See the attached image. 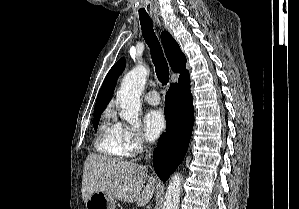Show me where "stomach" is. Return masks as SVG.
<instances>
[{
	"label": "stomach",
	"mask_w": 299,
	"mask_h": 209,
	"mask_svg": "<svg viewBox=\"0 0 299 209\" xmlns=\"http://www.w3.org/2000/svg\"><path fill=\"white\" fill-rule=\"evenodd\" d=\"M86 209H115V199L105 192H95L86 201Z\"/></svg>",
	"instance_id": "0dacf381"
}]
</instances>
